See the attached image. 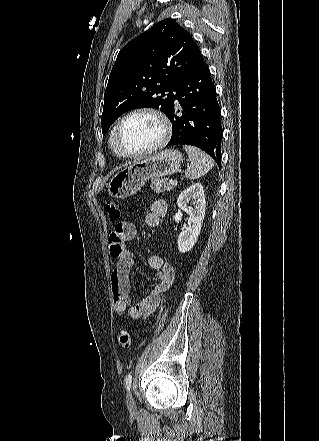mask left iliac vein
Wrapping results in <instances>:
<instances>
[{
  "label": "left iliac vein",
  "instance_id": "4c4485c4",
  "mask_svg": "<svg viewBox=\"0 0 319 441\" xmlns=\"http://www.w3.org/2000/svg\"><path fill=\"white\" fill-rule=\"evenodd\" d=\"M127 406H128V409L132 412H134L136 410V404H135L134 398L130 392L127 395Z\"/></svg>",
  "mask_w": 319,
  "mask_h": 441
}]
</instances>
